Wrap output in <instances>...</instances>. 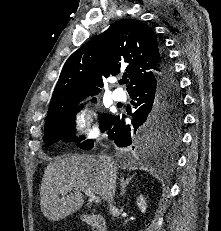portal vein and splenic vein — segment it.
<instances>
[{"instance_id": "18ae733b", "label": "portal vein and splenic vein", "mask_w": 221, "mask_h": 231, "mask_svg": "<svg viewBox=\"0 0 221 231\" xmlns=\"http://www.w3.org/2000/svg\"><path fill=\"white\" fill-rule=\"evenodd\" d=\"M83 192L89 197V200L94 203H100L101 199L99 196H96L94 193H92L90 190L83 189Z\"/></svg>"}]
</instances>
